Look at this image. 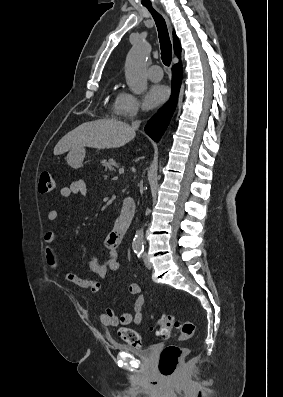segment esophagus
<instances>
[{
  "instance_id": "1",
  "label": "esophagus",
  "mask_w": 283,
  "mask_h": 397,
  "mask_svg": "<svg viewBox=\"0 0 283 397\" xmlns=\"http://www.w3.org/2000/svg\"><path fill=\"white\" fill-rule=\"evenodd\" d=\"M162 14H163V16H164V18H165V20H166V22L168 24L170 32H172V27H171V24H170L168 16L165 13H163V12H162Z\"/></svg>"
}]
</instances>
